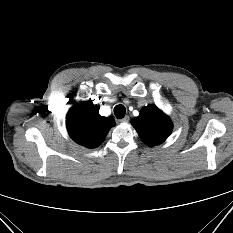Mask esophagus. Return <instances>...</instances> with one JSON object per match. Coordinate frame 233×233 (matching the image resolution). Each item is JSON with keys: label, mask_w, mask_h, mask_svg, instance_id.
<instances>
[{"label": "esophagus", "mask_w": 233, "mask_h": 233, "mask_svg": "<svg viewBox=\"0 0 233 233\" xmlns=\"http://www.w3.org/2000/svg\"><path fill=\"white\" fill-rule=\"evenodd\" d=\"M121 123H127L129 122V116H125L124 118L119 120Z\"/></svg>", "instance_id": "34e87169"}]
</instances>
